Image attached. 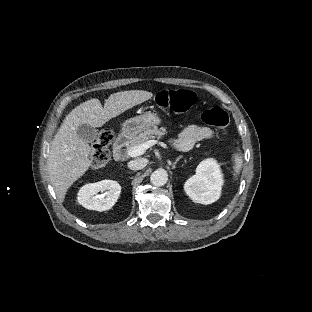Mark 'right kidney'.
<instances>
[{
    "label": "right kidney",
    "instance_id": "right-kidney-1",
    "mask_svg": "<svg viewBox=\"0 0 312 312\" xmlns=\"http://www.w3.org/2000/svg\"><path fill=\"white\" fill-rule=\"evenodd\" d=\"M120 192L121 186L116 181L102 180L82 186L77 200L86 209L101 212L112 208L117 202Z\"/></svg>",
    "mask_w": 312,
    "mask_h": 312
}]
</instances>
